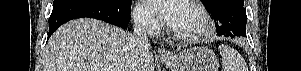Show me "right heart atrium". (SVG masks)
<instances>
[{
	"label": "right heart atrium",
	"mask_w": 301,
	"mask_h": 71,
	"mask_svg": "<svg viewBox=\"0 0 301 71\" xmlns=\"http://www.w3.org/2000/svg\"><path fill=\"white\" fill-rule=\"evenodd\" d=\"M134 21L139 29L149 34L156 33L160 27L156 16L141 4L137 5L134 10Z\"/></svg>",
	"instance_id": "obj_1"
}]
</instances>
